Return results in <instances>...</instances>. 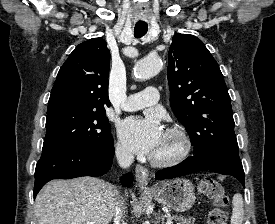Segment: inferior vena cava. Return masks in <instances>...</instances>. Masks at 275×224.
I'll list each match as a JSON object with an SVG mask.
<instances>
[{
	"label": "inferior vena cava",
	"instance_id": "obj_1",
	"mask_svg": "<svg viewBox=\"0 0 275 224\" xmlns=\"http://www.w3.org/2000/svg\"><path fill=\"white\" fill-rule=\"evenodd\" d=\"M115 154H116L118 164L122 168L129 167L134 161L133 154L123 148H116ZM114 206H115L114 207V223L115 224H125L124 220H123L125 217V212H126V207L124 205V201L118 199L115 201Z\"/></svg>",
	"mask_w": 275,
	"mask_h": 224
}]
</instances>
